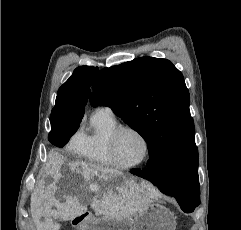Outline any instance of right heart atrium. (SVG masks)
<instances>
[{
  "instance_id": "obj_1",
  "label": "right heart atrium",
  "mask_w": 241,
  "mask_h": 230,
  "mask_svg": "<svg viewBox=\"0 0 241 230\" xmlns=\"http://www.w3.org/2000/svg\"><path fill=\"white\" fill-rule=\"evenodd\" d=\"M83 140H84V134L80 130H78L70 138V140L68 142V147L72 151L77 152L81 148Z\"/></svg>"
}]
</instances>
